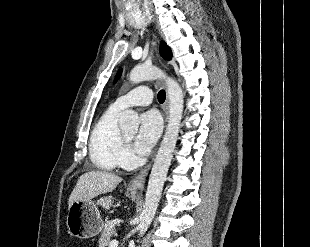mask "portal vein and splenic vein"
Wrapping results in <instances>:
<instances>
[{
    "label": "portal vein and splenic vein",
    "instance_id": "1",
    "mask_svg": "<svg viewBox=\"0 0 310 247\" xmlns=\"http://www.w3.org/2000/svg\"><path fill=\"white\" fill-rule=\"evenodd\" d=\"M109 247H118V241H117V240H112V241L109 243Z\"/></svg>",
    "mask_w": 310,
    "mask_h": 247
}]
</instances>
